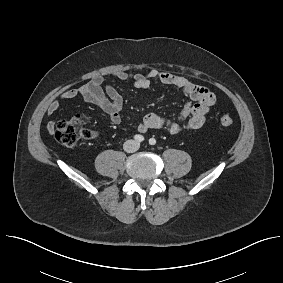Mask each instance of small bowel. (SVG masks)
I'll use <instances>...</instances> for the list:
<instances>
[{"label":"small bowel","mask_w":283,"mask_h":283,"mask_svg":"<svg viewBox=\"0 0 283 283\" xmlns=\"http://www.w3.org/2000/svg\"><path fill=\"white\" fill-rule=\"evenodd\" d=\"M118 80H131L137 88H147L158 82L180 90L189 100L175 119L164 118L154 112L147 113L137 125L139 133H146L151 129L164 130L171 135H178L184 131L197 130L203 126L206 116L215 104V94L207 87L198 85L184 76L151 69L146 73H128L118 71L113 74ZM76 97L92 104L105 112L113 124L121 122L123 98L117 89L111 85H103L101 77H95L86 84L62 93L61 99L72 100ZM61 105L52 101L47 106V114L58 112ZM54 128V122L48 125L49 131Z\"/></svg>","instance_id":"1"}]
</instances>
